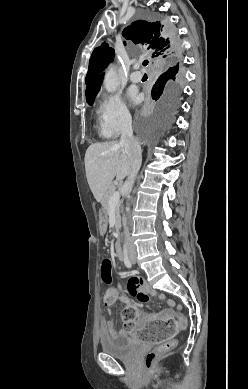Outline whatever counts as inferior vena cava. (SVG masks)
<instances>
[{"mask_svg":"<svg viewBox=\"0 0 248 389\" xmlns=\"http://www.w3.org/2000/svg\"><path fill=\"white\" fill-rule=\"evenodd\" d=\"M120 144L124 146V149L131 163L130 173L128 174V178L124 183L125 192L126 194H129L132 190L135 177L142 163L141 147L139 142L133 137L132 120L130 117L126 118L123 122ZM123 226L125 234V250L128 253H135V246L129 234L127 218L125 215H123Z\"/></svg>","mask_w":248,"mask_h":389,"instance_id":"602c4592","label":"inferior vena cava"}]
</instances>
